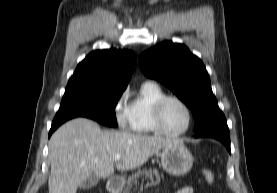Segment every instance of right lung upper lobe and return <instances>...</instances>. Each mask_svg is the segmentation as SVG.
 <instances>
[{
  "label": "right lung upper lobe",
  "mask_w": 277,
  "mask_h": 193,
  "mask_svg": "<svg viewBox=\"0 0 277 193\" xmlns=\"http://www.w3.org/2000/svg\"><path fill=\"white\" fill-rule=\"evenodd\" d=\"M135 55L128 50H97L78 64L66 89L89 88L124 91L135 67Z\"/></svg>",
  "instance_id": "obj_1"
}]
</instances>
